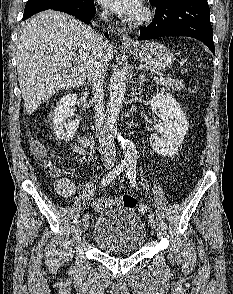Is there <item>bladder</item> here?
<instances>
[{
	"instance_id": "bladder-1",
	"label": "bladder",
	"mask_w": 233,
	"mask_h": 294,
	"mask_svg": "<svg viewBox=\"0 0 233 294\" xmlns=\"http://www.w3.org/2000/svg\"><path fill=\"white\" fill-rule=\"evenodd\" d=\"M146 227L141 217L127 207H112L97 219L93 242L104 252L127 254L138 251L146 239Z\"/></svg>"
}]
</instances>
